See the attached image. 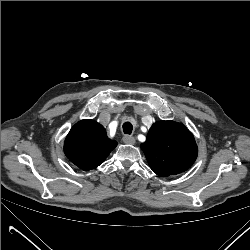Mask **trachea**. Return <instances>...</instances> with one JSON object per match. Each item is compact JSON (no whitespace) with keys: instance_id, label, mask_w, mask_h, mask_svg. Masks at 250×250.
Segmentation results:
<instances>
[{"instance_id":"obj_1","label":"trachea","mask_w":250,"mask_h":250,"mask_svg":"<svg viewBox=\"0 0 250 250\" xmlns=\"http://www.w3.org/2000/svg\"><path fill=\"white\" fill-rule=\"evenodd\" d=\"M123 132L125 133V134H131L132 133V130H133V126H132V124L130 123V122H125L124 124H123Z\"/></svg>"}]
</instances>
